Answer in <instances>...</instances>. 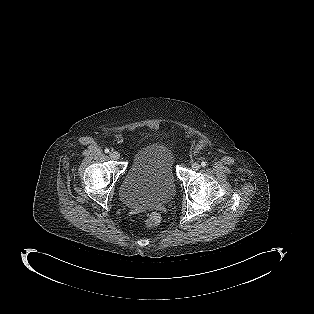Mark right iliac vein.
Here are the masks:
<instances>
[{"label":"right iliac vein","instance_id":"1","mask_svg":"<svg viewBox=\"0 0 314 314\" xmlns=\"http://www.w3.org/2000/svg\"><path fill=\"white\" fill-rule=\"evenodd\" d=\"M110 158L113 160L119 159V154L116 151H111L109 154Z\"/></svg>","mask_w":314,"mask_h":314}]
</instances>
